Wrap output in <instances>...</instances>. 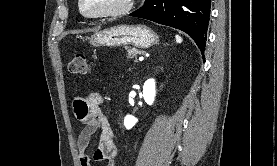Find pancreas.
Wrapping results in <instances>:
<instances>
[{
    "mask_svg": "<svg viewBox=\"0 0 277 166\" xmlns=\"http://www.w3.org/2000/svg\"><path fill=\"white\" fill-rule=\"evenodd\" d=\"M127 51V58L128 59H133L134 57H136L137 55L141 54V51L135 48H126Z\"/></svg>",
    "mask_w": 277,
    "mask_h": 166,
    "instance_id": "obj_1",
    "label": "pancreas"
}]
</instances>
